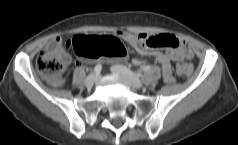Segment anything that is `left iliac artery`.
I'll use <instances>...</instances> for the list:
<instances>
[{
    "instance_id": "obj_1",
    "label": "left iliac artery",
    "mask_w": 238,
    "mask_h": 145,
    "mask_svg": "<svg viewBox=\"0 0 238 145\" xmlns=\"http://www.w3.org/2000/svg\"><path fill=\"white\" fill-rule=\"evenodd\" d=\"M150 68H151V66L148 65V66H144V67L142 68V70H143L144 72H146V71H149ZM139 72H140V71L136 72V74L139 75Z\"/></svg>"
}]
</instances>
